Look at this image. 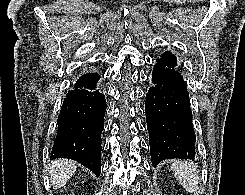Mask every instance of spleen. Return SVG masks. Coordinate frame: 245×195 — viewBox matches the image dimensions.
<instances>
[{
  "label": "spleen",
  "mask_w": 245,
  "mask_h": 195,
  "mask_svg": "<svg viewBox=\"0 0 245 195\" xmlns=\"http://www.w3.org/2000/svg\"><path fill=\"white\" fill-rule=\"evenodd\" d=\"M171 170L175 178L187 192H197L199 175L197 167L193 163L187 161H173Z\"/></svg>",
  "instance_id": "1"
}]
</instances>
